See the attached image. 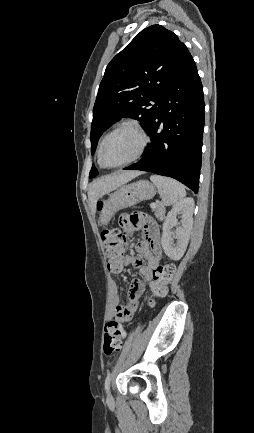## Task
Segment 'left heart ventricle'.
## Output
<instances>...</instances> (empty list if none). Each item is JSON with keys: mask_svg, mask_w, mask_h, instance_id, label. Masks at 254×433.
Instances as JSON below:
<instances>
[{"mask_svg": "<svg viewBox=\"0 0 254 433\" xmlns=\"http://www.w3.org/2000/svg\"><path fill=\"white\" fill-rule=\"evenodd\" d=\"M141 145L140 136L130 128H123L106 141L102 158L107 165H118L132 158Z\"/></svg>", "mask_w": 254, "mask_h": 433, "instance_id": "b2bd125f", "label": "left heart ventricle"}]
</instances>
